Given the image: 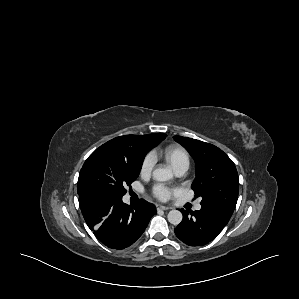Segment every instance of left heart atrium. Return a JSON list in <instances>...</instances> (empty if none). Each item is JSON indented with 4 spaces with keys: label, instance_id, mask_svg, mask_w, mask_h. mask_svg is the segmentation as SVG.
I'll return each instance as SVG.
<instances>
[{
    "label": "left heart atrium",
    "instance_id": "1",
    "mask_svg": "<svg viewBox=\"0 0 299 299\" xmlns=\"http://www.w3.org/2000/svg\"><path fill=\"white\" fill-rule=\"evenodd\" d=\"M174 193L172 189H169L163 185H156L153 188V194L156 198L160 200H167Z\"/></svg>",
    "mask_w": 299,
    "mask_h": 299
}]
</instances>
